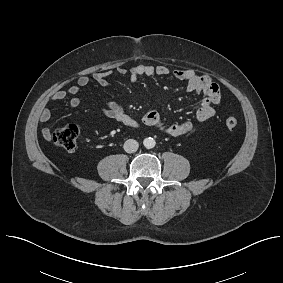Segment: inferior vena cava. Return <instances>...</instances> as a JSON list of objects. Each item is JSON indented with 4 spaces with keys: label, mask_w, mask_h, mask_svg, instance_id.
Returning a JSON list of instances; mask_svg holds the SVG:
<instances>
[{
    "label": "inferior vena cava",
    "mask_w": 283,
    "mask_h": 283,
    "mask_svg": "<svg viewBox=\"0 0 283 283\" xmlns=\"http://www.w3.org/2000/svg\"><path fill=\"white\" fill-rule=\"evenodd\" d=\"M139 144L136 140L134 139H129L127 141H125L124 143V150L127 153H134L138 150Z\"/></svg>",
    "instance_id": "602c4592"
}]
</instances>
